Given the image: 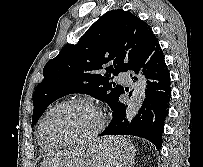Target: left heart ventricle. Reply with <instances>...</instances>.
I'll return each mask as SVG.
<instances>
[{
    "label": "left heart ventricle",
    "mask_w": 203,
    "mask_h": 167,
    "mask_svg": "<svg viewBox=\"0 0 203 167\" xmlns=\"http://www.w3.org/2000/svg\"><path fill=\"white\" fill-rule=\"evenodd\" d=\"M98 118L95 112L81 104H69L52 112L43 126L48 142H63L79 138L95 128Z\"/></svg>",
    "instance_id": "left-heart-ventricle-1"
}]
</instances>
